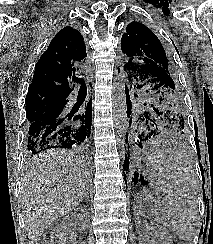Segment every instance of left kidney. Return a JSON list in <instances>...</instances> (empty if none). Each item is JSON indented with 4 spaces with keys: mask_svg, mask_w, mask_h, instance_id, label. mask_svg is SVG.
Listing matches in <instances>:
<instances>
[{
    "mask_svg": "<svg viewBox=\"0 0 213 244\" xmlns=\"http://www.w3.org/2000/svg\"><path fill=\"white\" fill-rule=\"evenodd\" d=\"M146 209H148L151 215L154 216L155 225L153 227V235L149 233L145 220ZM133 210L141 244H172V239L163 216L161 204L150 192L142 191L138 193L134 201Z\"/></svg>",
    "mask_w": 213,
    "mask_h": 244,
    "instance_id": "1",
    "label": "left kidney"
}]
</instances>
